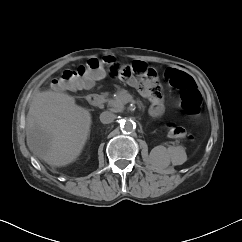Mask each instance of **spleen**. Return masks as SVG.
<instances>
[{"mask_svg":"<svg viewBox=\"0 0 242 242\" xmlns=\"http://www.w3.org/2000/svg\"><path fill=\"white\" fill-rule=\"evenodd\" d=\"M179 149V147L177 148H169L166 155L163 157L164 159H169L171 160L172 162L175 160L176 158V153H177V150Z\"/></svg>","mask_w":242,"mask_h":242,"instance_id":"3e777b00","label":"spleen"}]
</instances>
